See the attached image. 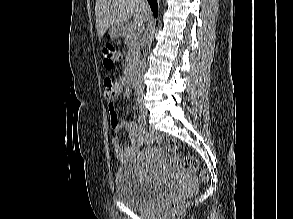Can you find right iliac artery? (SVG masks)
Returning a JSON list of instances; mask_svg holds the SVG:
<instances>
[{
    "instance_id": "1",
    "label": "right iliac artery",
    "mask_w": 293,
    "mask_h": 219,
    "mask_svg": "<svg viewBox=\"0 0 293 219\" xmlns=\"http://www.w3.org/2000/svg\"><path fill=\"white\" fill-rule=\"evenodd\" d=\"M138 122L141 123V124H143V125L146 124V120H145V118L143 116H139L138 117Z\"/></svg>"
}]
</instances>
